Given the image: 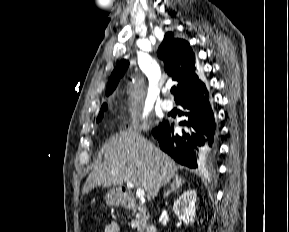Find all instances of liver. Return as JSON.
<instances>
[{
	"label": "liver",
	"instance_id": "liver-1",
	"mask_svg": "<svg viewBox=\"0 0 289 232\" xmlns=\"http://www.w3.org/2000/svg\"><path fill=\"white\" fill-rule=\"evenodd\" d=\"M104 160L96 165L82 193L102 186H121L127 181L143 188L151 201L163 184L177 176L175 161L151 141L134 131H121L103 145Z\"/></svg>",
	"mask_w": 289,
	"mask_h": 232
}]
</instances>
